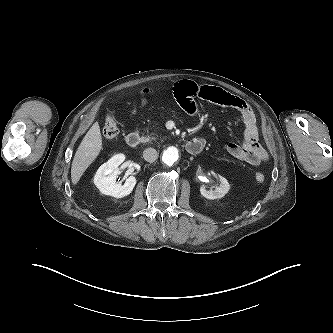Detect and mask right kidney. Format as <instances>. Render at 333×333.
I'll return each mask as SVG.
<instances>
[{
    "label": "right kidney",
    "instance_id": "right-kidney-1",
    "mask_svg": "<svg viewBox=\"0 0 333 333\" xmlns=\"http://www.w3.org/2000/svg\"><path fill=\"white\" fill-rule=\"evenodd\" d=\"M124 160L125 156L123 154H117L108 162L101 165L97 170L94 176V184L102 194L122 198L132 192L136 184V178L134 176L128 177L124 185L116 183V178L119 173L118 167Z\"/></svg>",
    "mask_w": 333,
    "mask_h": 333
}]
</instances>
